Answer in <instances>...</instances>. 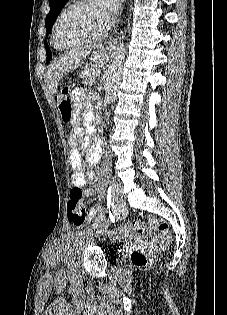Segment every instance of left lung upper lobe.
<instances>
[{"mask_svg": "<svg viewBox=\"0 0 227 315\" xmlns=\"http://www.w3.org/2000/svg\"><path fill=\"white\" fill-rule=\"evenodd\" d=\"M67 1L68 0H49L50 12L46 16L45 21L47 34L51 32L52 26L56 21L57 16L61 12ZM46 51H47L46 62L48 63L52 58V54L48 48H46Z\"/></svg>", "mask_w": 227, "mask_h": 315, "instance_id": "left-lung-upper-lobe-1", "label": "left lung upper lobe"}]
</instances>
